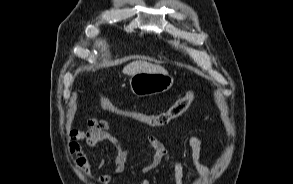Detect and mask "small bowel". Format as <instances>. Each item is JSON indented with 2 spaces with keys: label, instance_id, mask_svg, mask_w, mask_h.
Listing matches in <instances>:
<instances>
[{
  "label": "small bowel",
  "instance_id": "obj_1",
  "mask_svg": "<svg viewBox=\"0 0 293 184\" xmlns=\"http://www.w3.org/2000/svg\"><path fill=\"white\" fill-rule=\"evenodd\" d=\"M110 123L100 118H91L86 123L85 129H72L68 135L69 151L75 155V164L84 176H89L92 164L89 156L84 150V145L99 149L101 143L111 144L116 151L114 168L111 172L101 175L97 179L98 184H109L113 177L126 170V164L130 157V151L124 148L120 141L110 133ZM147 141L153 150L152 159L141 167V173L146 175L155 170L163 162H171L173 165V178L175 184H183L184 167L166 149L159 138L149 133ZM190 156L198 178L208 176V168L201 162L202 139L199 135H192L189 139ZM105 159L101 158L97 164L98 168L103 167ZM131 184H151L147 178H141Z\"/></svg>",
  "mask_w": 293,
  "mask_h": 184
}]
</instances>
